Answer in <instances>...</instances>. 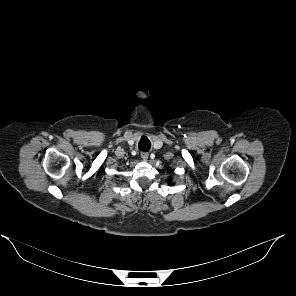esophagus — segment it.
I'll return each mask as SVG.
<instances>
[{"mask_svg": "<svg viewBox=\"0 0 296 296\" xmlns=\"http://www.w3.org/2000/svg\"><path fill=\"white\" fill-rule=\"evenodd\" d=\"M141 157L144 161H147L148 157H149V154L147 152H142L141 153Z\"/></svg>", "mask_w": 296, "mask_h": 296, "instance_id": "esophagus-1", "label": "esophagus"}]
</instances>
